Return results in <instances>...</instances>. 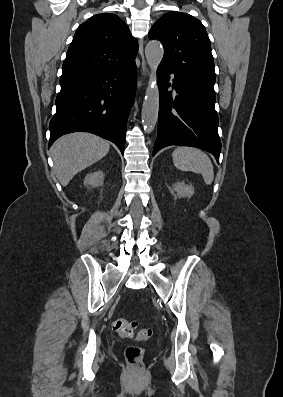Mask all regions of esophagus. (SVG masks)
<instances>
[{"label":"esophagus","instance_id":"1","mask_svg":"<svg viewBox=\"0 0 283 397\" xmlns=\"http://www.w3.org/2000/svg\"><path fill=\"white\" fill-rule=\"evenodd\" d=\"M139 54L142 57V76H147L148 75V68L146 65V62L144 60V50H143V41L141 40L139 43ZM143 78L141 77L138 83L139 89L143 86Z\"/></svg>","mask_w":283,"mask_h":397}]
</instances>
